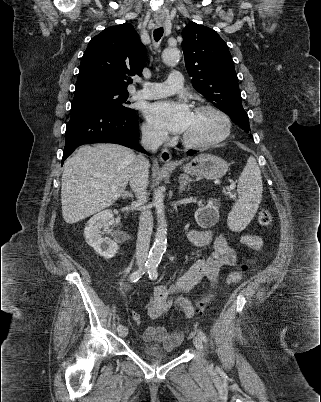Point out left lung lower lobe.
<instances>
[{
	"label": "left lung lower lobe",
	"instance_id": "obj_1",
	"mask_svg": "<svg viewBox=\"0 0 321 402\" xmlns=\"http://www.w3.org/2000/svg\"><path fill=\"white\" fill-rule=\"evenodd\" d=\"M196 152L197 151H188L187 154L191 156V155L195 154Z\"/></svg>",
	"mask_w": 321,
	"mask_h": 402
}]
</instances>
